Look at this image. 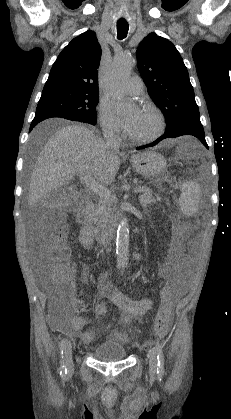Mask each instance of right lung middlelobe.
Segmentation results:
<instances>
[{
  "instance_id": "1",
  "label": "right lung middle lobe",
  "mask_w": 231,
  "mask_h": 419,
  "mask_svg": "<svg viewBox=\"0 0 231 419\" xmlns=\"http://www.w3.org/2000/svg\"><path fill=\"white\" fill-rule=\"evenodd\" d=\"M98 98V92L61 86L44 87L34 119L61 117L95 125Z\"/></svg>"
}]
</instances>
